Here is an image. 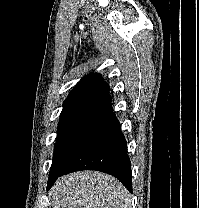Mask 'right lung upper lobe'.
Masks as SVG:
<instances>
[{"instance_id": "1", "label": "right lung upper lobe", "mask_w": 199, "mask_h": 208, "mask_svg": "<svg viewBox=\"0 0 199 208\" xmlns=\"http://www.w3.org/2000/svg\"><path fill=\"white\" fill-rule=\"evenodd\" d=\"M111 103L109 85L102 76L92 73L83 77L63 103L62 113L81 109H102Z\"/></svg>"}]
</instances>
